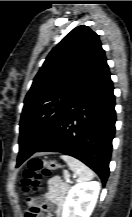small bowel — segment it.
Here are the masks:
<instances>
[{
  "instance_id": "small-bowel-1",
  "label": "small bowel",
  "mask_w": 132,
  "mask_h": 217,
  "mask_svg": "<svg viewBox=\"0 0 132 217\" xmlns=\"http://www.w3.org/2000/svg\"><path fill=\"white\" fill-rule=\"evenodd\" d=\"M68 191V184L59 176H54L48 181V192L41 198L31 200L29 205L30 207H38L46 211L53 210L55 217H58L65 204ZM47 217H52V215H47Z\"/></svg>"
}]
</instances>
